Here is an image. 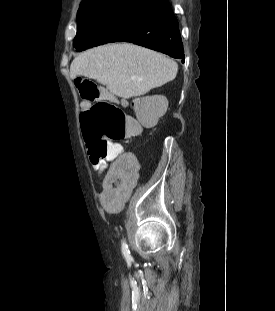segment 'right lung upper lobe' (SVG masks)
<instances>
[{
  "label": "right lung upper lobe",
  "instance_id": "1",
  "mask_svg": "<svg viewBox=\"0 0 275 311\" xmlns=\"http://www.w3.org/2000/svg\"><path fill=\"white\" fill-rule=\"evenodd\" d=\"M83 1H84V0H83ZM150 1L161 2V3H163L164 5H165V4H168L165 0H150Z\"/></svg>",
  "mask_w": 275,
  "mask_h": 311
}]
</instances>
